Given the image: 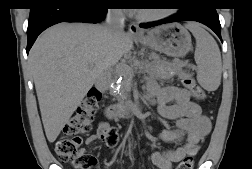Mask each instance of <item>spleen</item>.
<instances>
[{
    "instance_id": "spleen-1",
    "label": "spleen",
    "mask_w": 252,
    "mask_h": 169,
    "mask_svg": "<svg viewBox=\"0 0 252 169\" xmlns=\"http://www.w3.org/2000/svg\"><path fill=\"white\" fill-rule=\"evenodd\" d=\"M187 28L196 39L195 62L197 81L207 91H215L221 83L222 61L214 38L197 23H188Z\"/></svg>"
}]
</instances>
